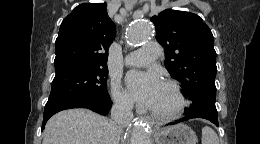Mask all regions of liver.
I'll return each instance as SVG.
<instances>
[{"label":"liver","instance_id":"liver-1","mask_svg":"<svg viewBox=\"0 0 260 144\" xmlns=\"http://www.w3.org/2000/svg\"><path fill=\"white\" fill-rule=\"evenodd\" d=\"M119 138L110 119L87 109H69L48 120L43 144H117Z\"/></svg>","mask_w":260,"mask_h":144}]
</instances>
